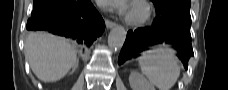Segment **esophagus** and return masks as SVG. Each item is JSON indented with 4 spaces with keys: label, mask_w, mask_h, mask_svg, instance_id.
<instances>
[{
    "label": "esophagus",
    "mask_w": 228,
    "mask_h": 90,
    "mask_svg": "<svg viewBox=\"0 0 228 90\" xmlns=\"http://www.w3.org/2000/svg\"><path fill=\"white\" fill-rule=\"evenodd\" d=\"M105 24H106L107 29H111L116 26L115 22L108 20V19L105 20Z\"/></svg>",
    "instance_id": "1"
}]
</instances>
